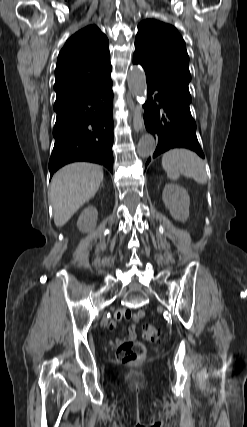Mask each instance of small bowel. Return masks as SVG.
I'll return each instance as SVG.
<instances>
[{"label": "small bowel", "instance_id": "obj_1", "mask_svg": "<svg viewBox=\"0 0 247 427\" xmlns=\"http://www.w3.org/2000/svg\"><path fill=\"white\" fill-rule=\"evenodd\" d=\"M144 315H145V312L142 310H139L133 313L128 309H119L116 311L113 320L109 323V330L115 331L117 328L118 322H120L123 319L130 320L132 324L129 327V334L126 341H133L136 338L135 325L140 319L144 317ZM118 342H122V341L118 340Z\"/></svg>", "mask_w": 247, "mask_h": 427}]
</instances>
